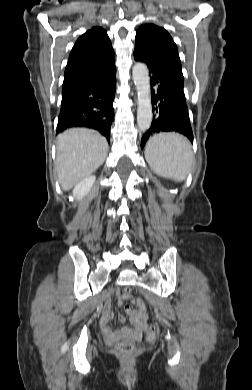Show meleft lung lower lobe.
I'll use <instances>...</instances> for the list:
<instances>
[{
    "label": "left lung lower lobe",
    "instance_id": "left-lung-lower-lobe-1",
    "mask_svg": "<svg viewBox=\"0 0 252 390\" xmlns=\"http://www.w3.org/2000/svg\"><path fill=\"white\" fill-rule=\"evenodd\" d=\"M134 59L145 63L150 72L153 120L141 140V148L154 134L179 132L193 142L188 108L185 100L184 77L163 63L134 50Z\"/></svg>",
    "mask_w": 252,
    "mask_h": 390
}]
</instances>
